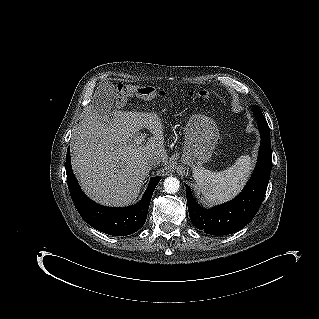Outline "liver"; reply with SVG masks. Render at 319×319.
Masks as SVG:
<instances>
[{
    "mask_svg": "<svg viewBox=\"0 0 319 319\" xmlns=\"http://www.w3.org/2000/svg\"><path fill=\"white\" fill-rule=\"evenodd\" d=\"M142 128L151 130L153 137L136 145L133 141ZM152 156L167 163L163 125L157 114L115 110L101 116L93 104L86 107L72 138L71 164L92 200L116 207L133 203L151 170L147 160Z\"/></svg>",
    "mask_w": 319,
    "mask_h": 319,
    "instance_id": "6515ba94",
    "label": "liver"
}]
</instances>
